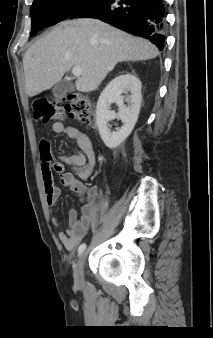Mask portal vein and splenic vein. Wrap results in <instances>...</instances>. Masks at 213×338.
Masks as SVG:
<instances>
[{
    "mask_svg": "<svg viewBox=\"0 0 213 338\" xmlns=\"http://www.w3.org/2000/svg\"><path fill=\"white\" fill-rule=\"evenodd\" d=\"M72 73L75 77H80L82 75V69L79 66H75L72 69Z\"/></svg>",
    "mask_w": 213,
    "mask_h": 338,
    "instance_id": "1",
    "label": "portal vein and splenic vein"
}]
</instances>
